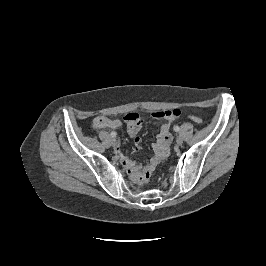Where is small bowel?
Listing matches in <instances>:
<instances>
[{"instance_id":"small-bowel-1","label":"small bowel","mask_w":266,"mask_h":266,"mask_svg":"<svg viewBox=\"0 0 266 266\" xmlns=\"http://www.w3.org/2000/svg\"><path fill=\"white\" fill-rule=\"evenodd\" d=\"M179 115L180 111L178 109L158 111L152 114L155 120L161 122V127L157 141L152 146L155 155L147 165L141 167L125 157L122 158L123 167L136 179L144 180L147 178L155 167L167 157L172 142L170 123L178 118ZM124 121L129 135L135 137L134 144L136 149H140L141 138L138 137L137 134L142 128L141 117L137 113H128L124 117ZM119 125L120 123L118 121L111 120L104 116H98L93 120V127L96 130L113 129L117 128Z\"/></svg>"}]
</instances>
